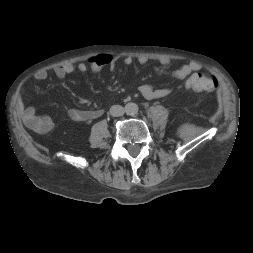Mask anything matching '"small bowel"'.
I'll return each instance as SVG.
<instances>
[{
    "mask_svg": "<svg viewBox=\"0 0 253 253\" xmlns=\"http://www.w3.org/2000/svg\"><path fill=\"white\" fill-rule=\"evenodd\" d=\"M117 60V57L103 53L96 55L90 58L87 62H78V63H64L56 66L54 68V73L58 78H64L69 74L78 71L80 73H87L89 71H99L105 66H111ZM149 58L147 56L138 57V62L140 64H146ZM123 62L126 65H131L134 62L133 57L125 56L123 58ZM159 62L162 65H168L170 60L168 58H161ZM200 64L197 62H189L178 69L171 71L168 74V78L171 80H183L186 77L190 76L192 73L200 70ZM47 77V72L45 70H41L36 73L35 78L37 80H44ZM140 93L149 100L163 98L168 96L171 93V89L169 88H156L149 83L142 84L139 88ZM68 115L71 120L75 122H89L95 119H98L103 115L102 109H70ZM22 119L26 126L30 129L39 132V133H47L52 130L54 126V122L52 118L48 115H38L36 110L32 106H26L22 111Z\"/></svg>",
    "mask_w": 253,
    "mask_h": 253,
    "instance_id": "obj_1",
    "label": "small bowel"
}]
</instances>
